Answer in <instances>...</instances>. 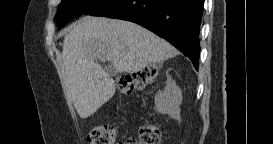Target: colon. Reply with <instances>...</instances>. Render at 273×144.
I'll list each match as a JSON object with an SVG mask.
<instances>
[{"instance_id":"obj_1","label":"colon","mask_w":273,"mask_h":144,"mask_svg":"<svg viewBox=\"0 0 273 144\" xmlns=\"http://www.w3.org/2000/svg\"><path fill=\"white\" fill-rule=\"evenodd\" d=\"M157 74L154 67H146L132 74L117 78V86L121 93L130 94L134 90L151 83ZM141 142L144 144H157L161 142V133L154 124H146L140 129ZM91 144H114L116 142L115 129L110 125H99L91 129L89 133Z\"/></svg>"}]
</instances>
